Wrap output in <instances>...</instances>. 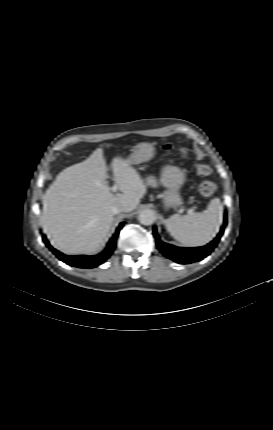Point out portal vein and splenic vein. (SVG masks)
I'll list each match as a JSON object with an SVG mask.
<instances>
[{"mask_svg": "<svg viewBox=\"0 0 273 430\" xmlns=\"http://www.w3.org/2000/svg\"><path fill=\"white\" fill-rule=\"evenodd\" d=\"M118 190V186H117V184L115 183L112 187H111V191L112 192H116Z\"/></svg>", "mask_w": 273, "mask_h": 430, "instance_id": "portal-vein-and-splenic-vein-1", "label": "portal vein and splenic vein"}]
</instances>
